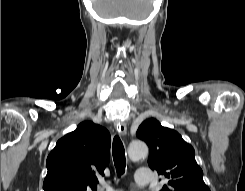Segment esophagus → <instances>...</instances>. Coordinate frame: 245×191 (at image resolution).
<instances>
[{"label":"esophagus","instance_id":"34e87169","mask_svg":"<svg viewBox=\"0 0 245 191\" xmlns=\"http://www.w3.org/2000/svg\"><path fill=\"white\" fill-rule=\"evenodd\" d=\"M116 130L119 134L125 136L127 133V127L125 122H121L118 125H116Z\"/></svg>","mask_w":245,"mask_h":191}]
</instances>
